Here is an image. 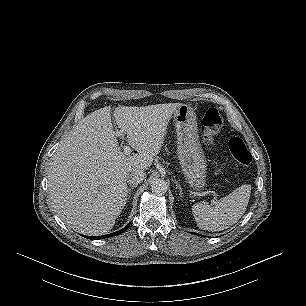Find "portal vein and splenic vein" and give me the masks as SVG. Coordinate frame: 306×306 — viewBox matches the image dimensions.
Segmentation results:
<instances>
[{"label": "portal vein and splenic vein", "instance_id": "18ae733b", "mask_svg": "<svg viewBox=\"0 0 306 306\" xmlns=\"http://www.w3.org/2000/svg\"><path fill=\"white\" fill-rule=\"evenodd\" d=\"M118 135L121 137V138H124V129H121L119 132H118ZM124 150V154L125 155H129L131 153V148L127 145L124 146L123 148Z\"/></svg>", "mask_w": 306, "mask_h": 306}]
</instances>
